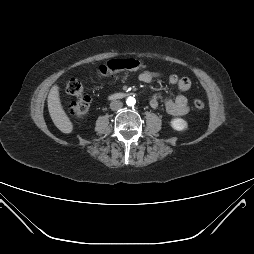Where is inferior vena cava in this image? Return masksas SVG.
Wrapping results in <instances>:
<instances>
[{
    "mask_svg": "<svg viewBox=\"0 0 254 254\" xmlns=\"http://www.w3.org/2000/svg\"><path fill=\"white\" fill-rule=\"evenodd\" d=\"M123 106V103L121 101H112L110 103V109L113 111H117L119 109H121Z\"/></svg>",
    "mask_w": 254,
    "mask_h": 254,
    "instance_id": "obj_1",
    "label": "inferior vena cava"
}]
</instances>
